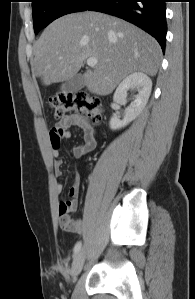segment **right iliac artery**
<instances>
[{"instance_id":"82829eb1","label":"right iliac artery","mask_w":195,"mask_h":299,"mask_svg":"<svg viewBox=\"0 0 195 299\" xmlns=\"http://www.w3.org/2000/svg\"><path fill=\"white\" fill-rule=\"evenodd\" d=\"M81 248V242H77L75 247H74V255L80 250Z\"/></svg>"}]
</instances>
